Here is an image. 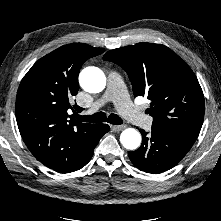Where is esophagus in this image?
I'll return each mask as SVG.
<instances>
[{"label":"esophagus","mask_w":221,"mask_h":221,"mask_svg":"<svg viewBox=\"0 0 221 221\" xmlns=\"http://www.w3.org/2000/svg\"><path fill=\"white\" fill-rule=\"evenodd\" d=\"M126 128V125H115V126H113V129L115 130V131H122V130H124Z\"/></svg>","instance_id":"34e87169"}]
</instances>
